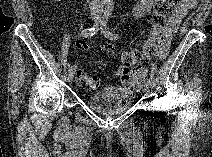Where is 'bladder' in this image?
Masks as SVG:
<instances>
[{"label": "bladder", "mask_w": 212, "mask_h": 157, "mask_svg": "<svg viewBox=\"0 0 212 157\" xmlns=\"http://www.w3.org/2000/svg\"><path fill=\"white\" fill-rule=\"evenodd\" d=\"M135 100V94L119 87L108 86L87 97V106L101 114H114L128 109Z\"/></svg>", "instance_id": "1"}]
</instances>
